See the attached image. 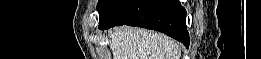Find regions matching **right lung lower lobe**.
<instances>
[{"label":"right lung lower lobe","mask_w":261,"mask_h":59,"mask_svg":"<svg viewBox=\"0 0 261 59\" xmlns=\"http://www.w3.org/2000/svg\"><path fill=\"white\" fill-rule=\"evenodd\" d=\"M129 25L163 32L189 46L186 11L179 0H119L100 16L99 29Z\"/></svg>","instance_id":"1"}]
</instances>
